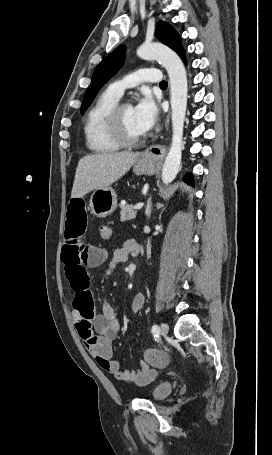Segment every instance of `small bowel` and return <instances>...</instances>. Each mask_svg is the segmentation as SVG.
<instances>
[{
    "mask_svg": "<svg viewBox=\"0 0 272 455\" xmlns=\"http://www.w3.org/2000/svg\"><path fill=\"white\" fill-rule=\"evenodd\" d=\"M86 226L87 213L83 201L81 199L71 201L67 210L62 262L66 278L73 291L71 314L75 328L86 349L102 369L113 374L120 381L148 383L156 376V371L150 369L145 361H140L139 368L136 370H123L119 361L113 358L111 342L121 329V323L113 305L105 302L100 314L94 312L88 270L103 263L108 253L103 248L84 243ZM139 251L140 246L137 241H125L120 248L114 250L106 275L110 276L118 263L125 261L128 256L138 255ZM144 302V295L137 293L132 299V311L134 313L140 311Z\"/></svg>",
    "mask_w": 272,
    "mask_h": 455,
    "instance_id": "1",
    "label": "small bowel"
}]
</instances>
